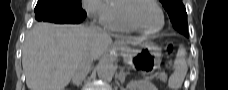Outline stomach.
Instances as JSON below:
<instances>
[{
  "mask_svg": "<svg viewBox=\"0 0 228 90\" xmlns=\"http://www.w3.org/2000/svg\"><path fill=\"white\" fill-rule=\"evenodd\" d=\"M129 56H125V61L135 68L145 71H153L160 66L161 49L150 41H146L138 50H125Z\"/></svg>",
  "mask_w": 228,
  "mask_h": 90,
  "instance_id": "stomach-1",
  "label": "stomach"
}]
</instances>
